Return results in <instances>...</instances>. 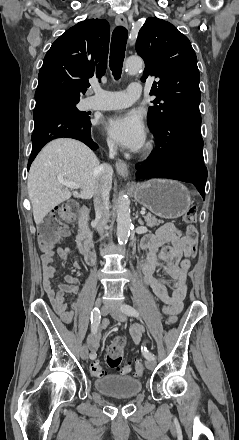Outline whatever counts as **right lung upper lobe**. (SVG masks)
Masks as SVG:
<instances>
[{
	"label": "right lung upper lobe",
	"mask_w": 239,
	"mask_h": 440,
	"mask_svg": "<svg viewBox=\"0 0 239 440\" xmlns=\"http://www.w3.org/2000/svg\"><path fill=\"white\" fill-rule=\"evenodd\" d=\"M109 23L81 21L54 41L38 75L36 103L52 97H79L90 86L88 78H101L107 67Z\"/></svg>",
	"instance_id": "cb5924a9"
}]
</instances>
